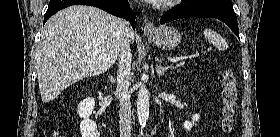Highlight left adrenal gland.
<instances>
[{
    "label": "left adrenal gland",
    "instance_id": "obj_1",
    "mask_svg": "<svg viewBox=\"0 0 280 137\" xmlns=\"http://www.w3.org/2000/svg\"><path fill=\"white\" fill-rule=\"evenodd\" d=\"M156 71H157V75L158 77H161L164 75V73L168 70V69H174V67L172 65L170 66H166V67H162L161 64H157L156 65Z\"/></svg>",
    "mask_w": 280,
    "mask_h": 137
}]
</instances>
